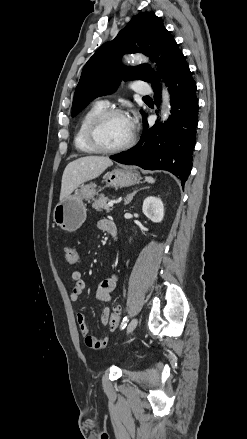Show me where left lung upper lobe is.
Returning <instances> with one entry per match:
<instances>
[{
    "label": "left lung upper lobe",
    "mask_w": 247,
    "mask_h": 439,
    "mask_svg": "<svg viewBox=\"0 0 247 439\" xmlns=\"http://www.w3.org/2000/svg\"><path fill=\"white\" fill-rule=\"evenodd\" d=\"M136 52L144 53L155 61L164 80L184 59L173 36L154 12L136 15L113 41L102 45L85 64L76 87L72 116L94 98L112 93L122 77L124 80L150 82L153 89L159 87L158 77L149 65H122L120 59L123 54Z\"/></svg>",
    "instance_id": "obj_1"
}]
</instances>
